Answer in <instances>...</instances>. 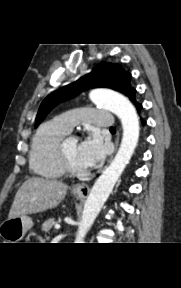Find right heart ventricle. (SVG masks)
I'll use <instances>...</instances> for the list:
<instances>
[{
	"label": "right heart ventricle",
	"mask_w": 181,
	"mask_h": 288,
	"mask_svg": "<svg viewBox=\"0 0 181 288\" xmlns=\"http://www.w3.org/2000/svg\"><path fill=\"white\" fill-rule=\"evenodd\" d=\"M68 133L56 120L46 122L37 129L29 156L30 168L35 174L46 179H58L65 174L58 146Z\"/></svg>",
	"instance_id": "obj_1"
}]
</instances>
